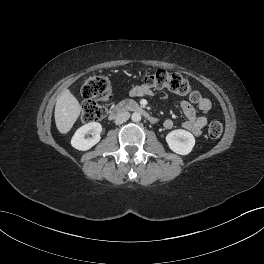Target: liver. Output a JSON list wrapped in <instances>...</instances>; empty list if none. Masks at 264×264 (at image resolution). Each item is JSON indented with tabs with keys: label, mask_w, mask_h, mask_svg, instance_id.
<instances>
[{
	"label": "liver",
	"mask_w": 264,
	"mask_h": 264,
	"mask_svg": "<svg viewBox=\"0 0 264 264\" xmlns=\"http://www.w3.org/2000/svg\"><path fill=\"white\" fill-rule=\"evenodd\" d=\"M81 112V106L77 98L65 89L58 97L55 105V123L58 131L68 133L76 122Z\"/></svg>",
	"instance_id": "6515ba94"
}]
</instances>
